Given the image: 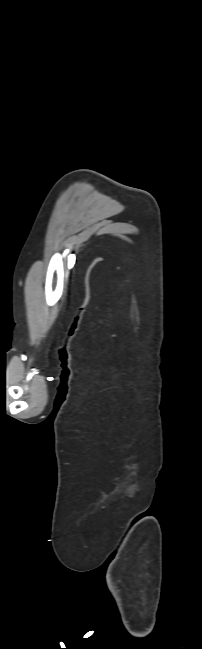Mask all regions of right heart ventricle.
Masks as SVG:
<instances>
[{
    "label": "right heart ventricle",
    "instance_id": "obj_1",
    "mask_svg": "<svg viewBox=\"0 0 202 649\" xmlns=\"http://www.w3.org/2000/svg\"><path fill=\"white\" fill-rule=\"evenodd\" d=\"M87 635H88V636H90V635H91V633H88Z\"/></svg>",
    "mask_w": 202,
    "mask_h": 649
}]
</instances>
